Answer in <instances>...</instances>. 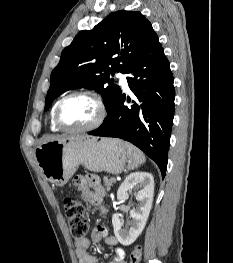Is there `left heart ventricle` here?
Returning <instances> with one entry per match:
<instances>
[{"instance_id": "obj_1", "label": "left heart ventricle", "mask_w": 233, "mask_h": 263, "mask_svg": "<svg viewBox=\"0 0 233 263\" xmlns=\"http://www.w3.org/2000/svg\"><path fill=\"white\" fill-rule=\"evenodd\" d=\"M98 115L95 101L86 96H77L67 100L61 109L62 122L71 128L90 125Z\"/></svg>"}]
</instances>
